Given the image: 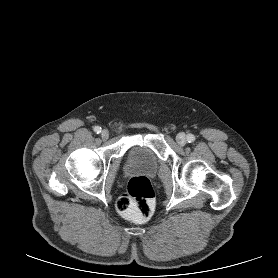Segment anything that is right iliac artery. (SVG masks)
<instances>
[{
  "label": "right iliac artery",
  "instance_id": "1",
  "mask_svg": "<svg viewBox=\"0 0 278 278\" xmlns=\"http://www.w3.org/2000/svg\"><path fill=\"white\" fill-rule=\"evenodd\" d=\"M94 131H95V133L99 134L101 132V127L95 126Z\"/></svg>",
  "mask_w": 278,
  "mask_h": 278
}]
</instances>
